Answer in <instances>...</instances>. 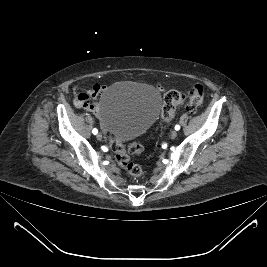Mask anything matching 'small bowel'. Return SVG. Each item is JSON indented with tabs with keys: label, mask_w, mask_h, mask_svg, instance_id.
<instances>
[{
	"label": "small bowel",
	"mask_w": 267,
	"mask_h": 267,
	"mask_svg": "<svg viewBox=\"0 0 267 267\" xmlns=\"http://www.w3.org/2000/svg\"><path fill=\"white\" fill-rule=\"evenodd\" d=\"M159 89H162V87L159 86ZM103 90L104 87L96 83L91 89L78 92L75 97L76 105L98 114L99 108L94 101L103 92Z\"/></svg>",
	"instance_id": "obj_1"
}]
</instances>
